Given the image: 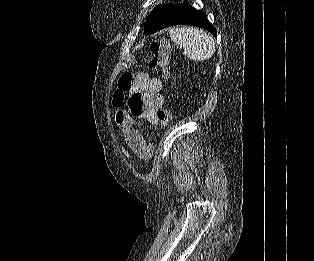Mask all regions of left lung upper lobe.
<instances>
[{
	"mask_svg": "<svg viewBox=\"0 0 314 261\" xmlns=\"http://www.w3.org/2000/svg\"><path fill=\"white\" fill-rule=\"evenodd\" d=\"M181 4L156 6L144 24V33L150 35L160 30L179 10Z\"/></svg>",
	"mask_w": 314,
	"mask_h": 261,
	"instance_id": "1",
	"label": "left lung upper lobe"
}]
</instances>
